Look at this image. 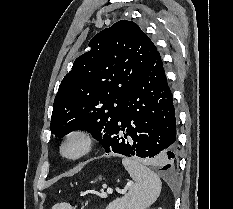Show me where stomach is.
Returning <instances> with one entry per match:
<instances>
[{
  "instance_id": "1",
  "label": "stomach",
  "mask_w": 233,
  "mask_h": 209,
  "mask_svg": "<svg viewBox=\"0 0 233 209\" xmlns=\"http://www.w3.org/2000/svg\"><path fill=\"white\" fill-rule=\"evenodd\" d=\"M99 179L101 180V179H102V177H101V176H99Z\"/></svg>"
}]
</instances>
